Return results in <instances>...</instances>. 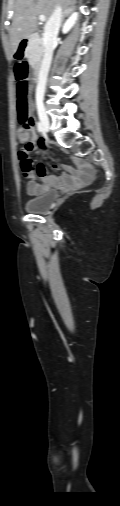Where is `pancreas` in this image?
<instances>
[{"instance_id":"pancreas-1","label":"pancreas","mask_w":120,"mask_h":506,"mask_svg":"<svg viewBox=\"0 0 120 506\" xmlns=\"http://www.w3.org/2000/svg\"><path fill=\"white\" fill-rule=\"evenodd\" d=\"M43 44L42 39L39 36L33 35L29 41L28 47L26 49V57L29 59V62L35 63L41 60L43 55Z\"/></svg>"}]
</instances>
